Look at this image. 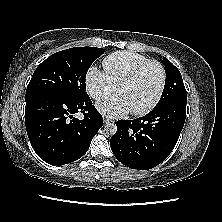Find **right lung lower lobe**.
<instances>
[{
	"label": "right lung lower lobe",
	"instance_id": "1",
	"mask_svg": "<svg viewBox=\"0 0 222 222\" xmlns=\"http://www.w3.org/2000/svg\"><path fill=\"white\" fill-rule=\"evenodd\" d=\"M76 113H83L84 119L73 117ZM25 125L36 154L49 164L64 165L87 152L103 118L88 95L44 93L26 100Z\"/></svg>",
	"mask_w": 222,
	"mask_h": 222
}]
</instances>
